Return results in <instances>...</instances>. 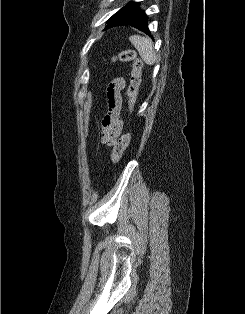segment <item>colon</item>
<instances>
[{
	"instance_id": "5ec220e1",
	"label": "colon",
	"mask_w": 245,
	"mask_h": 314,
	"mask_svg": "<svg viewBox=\"0 0 245 314\" xmlns=\"http://www.w3.org/2000/svg\"><path fill=\"white\" fill-rule=\"evenodd\" d=\"M112 60L114 62H131L132 70L130 74V83L127 91L129 107L132 111L134 109L139 87L141 84V68L142 63L137 57L135 50L128 48L125 49L118 54H116ZM132 139V135L130 132L123 134L118 141L115 143L112 152H111V161L113 163H118L122 157L123 152L129 146Z\"/></svg>"
}]
</instances>
